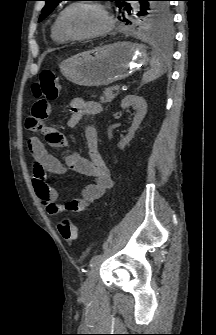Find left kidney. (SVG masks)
Here are the masks:
<instances>
[{"label": "left kidney", "mask_w": 216, "mask_h": 335, "mask_svg": "<svg viewBox=\"0 0 216 335\" xmlns=\"http://www.w3.org/2000/svg\"><path fill=\"white\" fill-rule=\"evenodd\" d=\"M130 106L136 111L132 125L129 129L128 134L118 143L120 149H124L125 146L129 145V142L133 139L135 131L139 128L145 114L147 112V103L143 97L136 95H127L121 102V107L127 109Z\"/></svg>", "instance_id": "obj_1"}]
</instances>
